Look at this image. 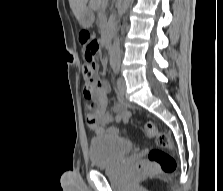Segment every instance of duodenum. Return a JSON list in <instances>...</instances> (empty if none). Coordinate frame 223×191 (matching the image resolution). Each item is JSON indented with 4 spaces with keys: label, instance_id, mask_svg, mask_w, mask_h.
<instances>
[{
    "label": "duodenum",
    "instance_id": "1",
    "mask_svg": "<svg viewBox=\"0 0 223 191\" xmlns=\"http://www.w3.org/2000/svg\"><path fill=\"white\" fill-rule=\"evenodd\" d=\"M114 26L111 27L110 30L107 31L106 36L104 38V45L106 49H109L112 43L113 34H114Z\"/></svg>",
    "mask_w": 223,
    "mask_h": 191
}]
</instances>
